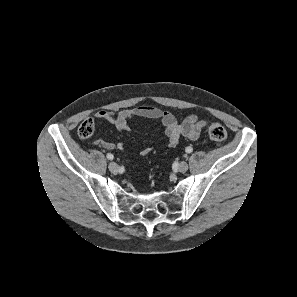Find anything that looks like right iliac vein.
<instances>
[{
    "label": "right iliac vein",
    "instance_id": "obj_1",
    "mask_svg": "<svg viewBox=\"0 0 297 297\" xmlns=\"http://www.w3.org/2000/svg\"><path fill=\"white\" fill-rule=\"evenodd\" d=\"M109 170L112 172V173H117L118 170H119V166L117 163L115 162H110L109 164Z\"/></svg>",
    "mask_w": 297,
    "mask_h": 297
}]
</instances>
